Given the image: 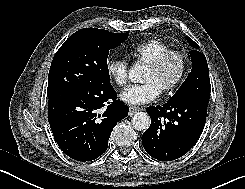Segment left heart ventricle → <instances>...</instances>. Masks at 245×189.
I'll return each mask as SVG.
<instances>
[{
	"label": "left heart ventricle",
	"mask_w": 245,
	"mask_h": 189,
	"mask_svg": "<svg viewBox=\"0 0 245 189\" xmlns=\"http://www.w3.org/2000/svg\"><path fill=\"white\" fill-rule=\"evenodd\" d=\"M180 62L176 58H171L165 66L157 72L146 67L143 81H153L160 89L172 82L180 72Z\"/></svg>",
	"instance_id": "b2bd125f"
}]
</instances>
